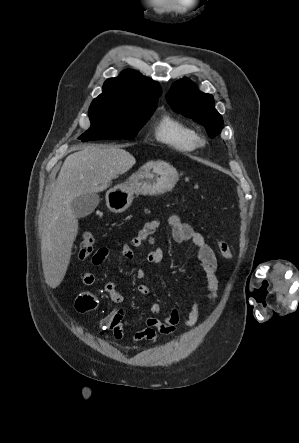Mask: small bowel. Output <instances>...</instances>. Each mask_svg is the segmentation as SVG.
<instances>
[{"label":"small bowel","instance_id":"c3829d8e","mask_svg":"<svg viewBox=\"0 0 299 443\" xmlns=\"http://www.w3.org/2000/svg\"><path fill=\"white\" fill-rule=\"evenodd\" d=\"M168 223L172 227L173 239L177 242L191 241L195 244L198 250V260L202 267L210 292V299L214 301L218 295V279H217V260L212 248L207 244L205 238L197 232L189 224L184 223L178 215H171L168 217ZM160 227L159 220H151L147 222L143 228L132 238L130 243H120L118 245L121 254L128 260L133 261L135 258L133 248H142L145 244H153L155 242V232ZM109 256L107 248H100L92 257L94 266L101 265ZM147 260L150 263L159 264L163 260V252L160 249H154L148 252ZM137 280H144L148 273L145 269L138 268L134 272ZM82 281L87 286H92L96 283V277L92 270L84 273ZM105 291L109 294L110 299L115 304H121L124 301V296L116 290L115 283L109 281L105 285ZM138 292L142 295H148L150 289L146 284L138 286ZM97 298L94 293L90 291L82 292L76 300V308L81 312H89L96 308ZM152 315L160 312V305L152 303L149 307ZM199 318V302L196 296L193 297L188 319L186 325L194 327ZM180 322V312L176 308L164 318L147 317L144 321V327L133 334L132 341L138 344L142 341H154L158 335L171 336L175 333L177 325ZM100 327L108 332H111L117 341H121L124 335V330L129 327V322L126 319V313L123 307H116L105 315L100 320Z\"/></svg>","mask_w":299,"mask_h":443}]
</instances>
